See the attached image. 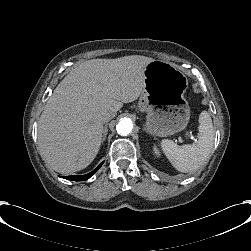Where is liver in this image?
<instances>
[{
    "mask_svg": "<svg viewBox=\"0 0 251 251\" xmlns=\"http://www.w3.org/2000/svg\"><path fill=\"white\" fill-rule=\"evenodd\" d=\"M141 55L92 59L72 69L55 88L38 122V146L53 170L80 171L96 157L103 117L138 99L145 87Z\"/></svg>",
    "mask_w": 251,
    "mask_h": 251,
    "instance_id": "1",
    "label": "liver"
}]
</instances>
